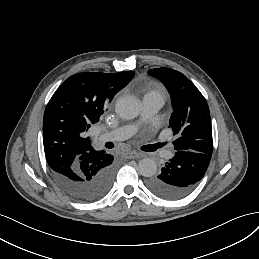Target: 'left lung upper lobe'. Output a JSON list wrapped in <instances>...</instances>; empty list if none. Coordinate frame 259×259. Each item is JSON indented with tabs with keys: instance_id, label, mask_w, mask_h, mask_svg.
Segmentation results:
<instances>
[{
	"instance_id": "1",
	"label": "left lung upper lobe",
	"mask_w": 259,
	"mask_h": 259,
	"mask_svg": "<svg viewBox=\"0 0 259 259\" xmlns=\"http://www.w3.org/2000/svg\"><path fill=\"white\" fill-rule=\"evenodd\" d=\"M148 74L158 78L168 89L173 112L169 127L177 139L176 150H191L212 155V127L208 104L197 87L182 73L170 68H156Z\"/></svg>"
}]
</instances>
